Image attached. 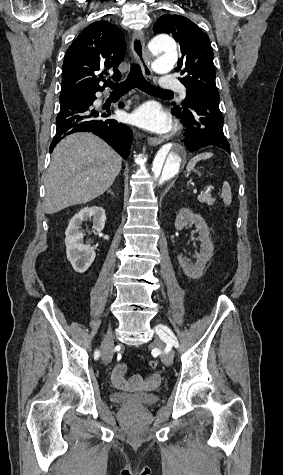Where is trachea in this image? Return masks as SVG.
Returning <instances> with one entry per match:
<instances>
[{
    "mask_svg": "<svg viewBox=\"0 0 283 475\" xmlns=\"http://www.w3.org/2000/svg\"><path fill=\"white\" fill-rule=\"evenodd\" d=\"M107 84L110 86L113 92L127 93L133 88L137 87L139 90H142V92L149 94L173 95L171 90H164L163 88L155 87L151 83L147 82L138 63H132L130 72L124 82L113 83L109 80Z\"/></svg>",
    "mask_w": 283,
    "mask_h": 475,
    "instance_id": "trachea-1",
    "label": "trachea"
}]
</instances>
